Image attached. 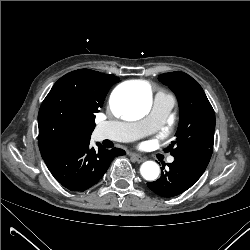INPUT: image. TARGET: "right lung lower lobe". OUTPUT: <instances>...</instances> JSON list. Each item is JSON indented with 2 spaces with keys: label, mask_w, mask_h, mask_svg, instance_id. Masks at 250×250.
I'll return each mask as SVG.
<instances>
[{
  "label": "right lung lower lobe",
  "mask_w": 250,
  "mask_h": 250,
  "mask_svg": "<svg viewBox=\"0 0 250 250\" xmlns=\"http://www.w3.org/2000/svg\"><path fill=\"white\" fill-rule=\"evenodd\" d=\"M89 144L90 139H80L41 151L51 174L71 191L83 192L96 184L112 160L125 154L122 149L107 150L101 145L96 151Z\"/></svg>",
  "instance_id": "obj_1"
}]
</instances>
